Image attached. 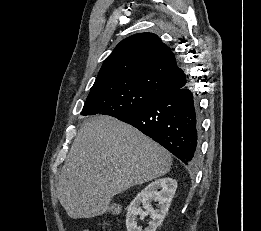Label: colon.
Wrapping results in <instances>:
<instances>
[{"mask_svg":"<svg viewBox=\"0 0 261 231\" xmlns=\"http://www.w3.org/2000/svg\"><path fill=\"white\" fill-rule=\"evenodd\" d=\"M119 213V208L117 205L113 204L105 209V214L116 215Z\"/></svg>","mask_w":261,"mask_h":231,"instance_id":"colon-1","label":"colon"}]
</instances>
